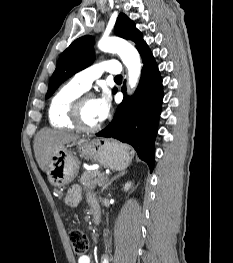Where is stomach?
<instances>
[{"mask_svg":"<svg viewBox=\"0 0 233 263\" xmlns=\"http://www.w3.org/2000/svg\"><path fill=\"white\" fill-rule=\"evenodd\" d=\"M78 148L81 155L116 171L127 168L134 155L129 146L106 139L80 140ZM78 168V160L69 146H62L48 165V180L54 187H63L76 177Z\"/></svg>","mask_w":233,"mask_h":263,"instance_id":"obj_1","label":"stomach"}]
</instances>
